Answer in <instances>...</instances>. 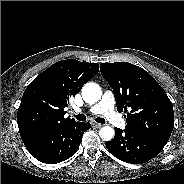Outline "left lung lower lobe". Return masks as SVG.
<instances>
[{"label":"left lung lower lobe","mask_w":184,"mask_h":184,"mask_svg":"<svg viewBox=\"0 0 184 184\" xmlns=\"http://www.w3.org/2000/svg\"><path fill=\"white\" fill-rule=\"evenodd\" d=\"M106 147L113 156L131 164L145 163L163 149L162 146L127 127L124 130L116 128L115 137L106 142Z\"/></svg>","instance_id":"0a47b994"}]
</instances>
